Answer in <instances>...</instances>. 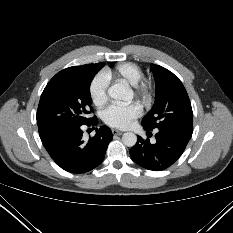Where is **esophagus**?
<instances>
[{
  "label": "esophagus",
  "instance_id": "34e87169",
  "mask_svg": "<svg viewBox=\"0 0 233 233\" xmlns=\"http://www.w3.org/2000/svg\"><path fill=\"white\" fill-rule=\"evenodd\" d=\"M112 134L113 135H122L123 134V131H120L118 129H112Z\"/></svg>",
  "mask_w": 233,
  "mask_h": 233
}]
</instances>
